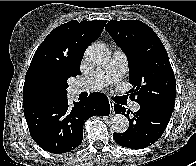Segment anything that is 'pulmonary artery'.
<instances>
[{
	"mask_svg": "<svg viewBox=\"0 0 196 166\" xmlns=\"http://www.w3.org/2000/svg\"><path fill=\"white\" fill-rule=\"evenodd\" d=\"M127 71V57L119 49L114 50L109 63L101 70H98L86 77L77 80L72 85L74 93L97 91L101 88L120 80ZM133 111H138L140 105L137 102L131 104Z\"/></svg>",
	"mask_w": 196,
	"mask_h": 166,
	"instance_id": "e3ab8cb5",
	"label": "pulmonary artery"
}]
</instances>
